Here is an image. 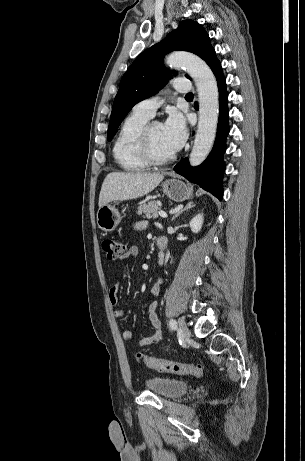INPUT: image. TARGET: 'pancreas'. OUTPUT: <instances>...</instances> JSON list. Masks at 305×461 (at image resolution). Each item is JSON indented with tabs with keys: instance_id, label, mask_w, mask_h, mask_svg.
<instances>
[{
	"instance_id": "cf45deb5",
	"label": "pancreas",
	"mask_w": 305,
	"mask_h": 461,
	"mask_svg": "<svg viewBox=\"0 0 305 461\" xmlns=\"http://www.w3.org/2000/svg\"><path fill=\"white\" fill-rule=\"evenodd\" d=\"M159 210V205L156 201H149L138 207L137 214L146 218H155Z\"/></svg>"
}]
</instances>
